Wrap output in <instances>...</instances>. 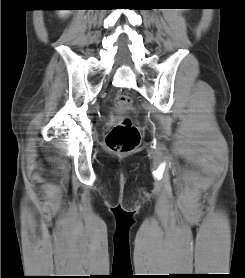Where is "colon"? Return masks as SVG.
Returning a JSON list of instances; mask_svg holds the SVG:
<instances>
[{
	"mask_svg": "<svg viewBox=\"0 0 245 278\" xmlns=\"http://www.w3.org/2000/svg\"><path fill=\"white\" fill-rule=\"evenodd\" d=\"M114 103L118 109H127L132 105V99L119 93L115 96ZM140 137L139 128L129 118H125L108 133L106 144L114 152H130L137 148Z\"/></svg>",
	"mask_w": 245,
	"mask_h": 278,
	"instance_id": "obj_1",
	"label": "colon"
}]
</instances>
